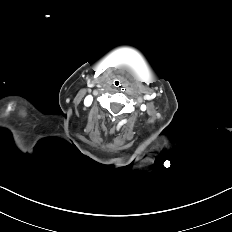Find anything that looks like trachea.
<instances>
[{"instance_id": "3493384b", "label": "trachea", "mask_w": 232, "mask_h": 232, "mask_svg": "<svg viewBox=\"0 0 232 232\" xmlns=\"http://www.w3.org/2000/svg\"><path fill=\"white\" fill-rule=\"evenodd\" d=\"M121 85H122V82H121L119 79H115V80L113 81V86H114L115 88H120Z\"/></svg>"}]
</instances>
